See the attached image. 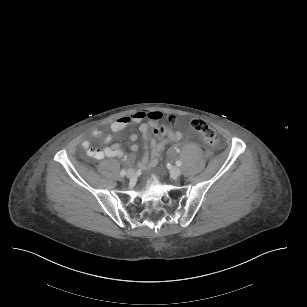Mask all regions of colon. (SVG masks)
Masks as SVG:
<instances>
[{
    "instance_id": "5ec220e1",
    "label": "colon",
    "mask_w": 307,
    "mask_h": 307,
    "mask_svg": "<svg viewBox=\"0 0 307 307\" xmlns=\"http://www.w3.org/2000/svg\"><path fill=\"white\" fill-rule=\"evenodd\" d=\"M168 120L171 122L172 119L168 118ZM189 128L193 131L201 134L205 142L209 146H217L219 142L218 134L215 130H213L211 127H209L202 119L200 118H193L189 122ZM169 131V126L167 124H161L158 126H154L152 128V133L154 135H160L163 133H167Z\"/></svg>"
}]
</instances>
